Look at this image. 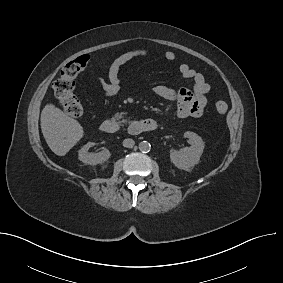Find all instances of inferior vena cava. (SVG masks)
Here are the masks:
<instances>
[{
	"label": "inferior vena cava",
	"instance_id": "602c4592",
	"mask_svg": "<svg viewBox=\"0 0 283 283\" xmlns=\"http://www.w3.org/2000/svg\"><path fill=\"white\" fill-rule=\"evenodd\" d=\"M134 144H135L134 140L130 139V138L125 139L123 141V146L126 147V148H132L134 146Z\"/></svg>",
	"mask_w": 283,
	"mask_h": 283
}]
</instances>
